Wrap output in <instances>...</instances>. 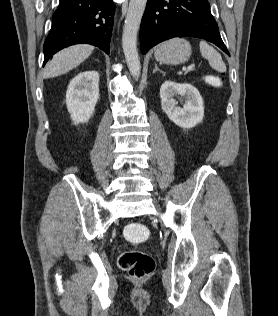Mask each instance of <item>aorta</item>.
Wrapping results in <instances>:
<instances>
[{
    "instance_id": "aorta-1",
    "label": "aorta",
    "mask_w": 278,
    "mask_h": 316,
    "mask_svg": "<svg viewBox=\"0 0 278 316\" xmlns=\"http://www.w3.org/2000/svg\"><path fill=\"white\" fill-rule=\"evenodd\" d=\"M146 3L147 0H130L122 34V47L127 66L131 75L136 79L141 74V65L137 50V34Z\"/></svg>"
}]
</instances>
